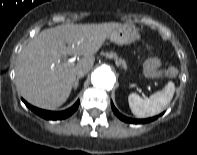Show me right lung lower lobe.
<instances>
[{
    "label": "right lung lower lobe",
    "instance_id": "obj_1",
    "mask_svg": "<svg viewBox=\"0 0 197 155\" xmlns=\"http://www.w3.org/2000/svg\"><path fill=\"white\" fill-rule=\"evenodd\" d=\"M25 105L32 110L34 113L39 115L40 117L47 119V120H59V119H65L72 115L78 108L79 106V100L69 109L65 111H60V112H53V111H47V110H42L39 108H36L34 106H31L28 104L25 100H23Z\"/></svg>",
    "mask_w": 197,
    "mask_h": 155
}]
</instances>
